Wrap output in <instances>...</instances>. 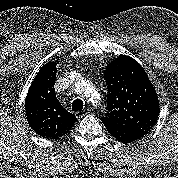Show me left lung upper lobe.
Returning a JSON list of instances; mask_svg holds the SVG:
<instances>
[{
  "instance_id": "left-lung-upper-lobe-1",
  "label": "left lung upper lobe",
  "mask_w": 178,
  "mask_h": 178,
  "mask_svg": "<svg viewBox=\"0 0 178 178\" xmlns=\"http://www.w3.org/2000/svg\"><path fill=\"white\" fill-rule=\"evenodd\" d=\"M108 111L102 121L150 131L160 112L158 96L143 67L121 55L106 68Z\"/></svg>"
}]
</instances>
